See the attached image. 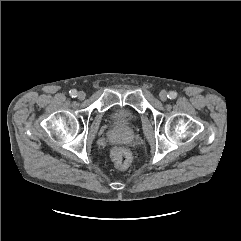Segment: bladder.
<instances>
[{
    "instance_id": "31cf9c89",
    "label": "bladder",
    "mask_w": 241,
    "mask_h": 241,
    "mask_svg": "<svg viewBox=\"0 0 241 241\" xmlns=\"http://www.w3.org/2000/svg\"><path fill=\"white\" fill-rule=\"evenodd\" d=\"M111 124L119 130L129 129L135 122V115L124 108L114 109L109 116Z\"/></svg>"
}]
</instances>
